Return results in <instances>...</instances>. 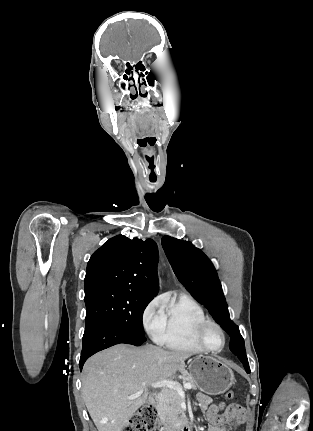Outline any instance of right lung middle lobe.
Segmentation results:
<instances>
[{"instance_id":"obj_1","label":"right lung middle lobe","mask_w":313,"mask_h":431,"mask_svg":"<svg viewBox=\"0 0 313 431\" xmlns=\"http://www.w3.org/2000/svg\"><path fill=\"white\" fill-rule=\"evenodd\" d=\"M152 299L127 289H109L85 296L86 328L110 322L144 336L142 316Z\"/></svg>"}]
</instances>
